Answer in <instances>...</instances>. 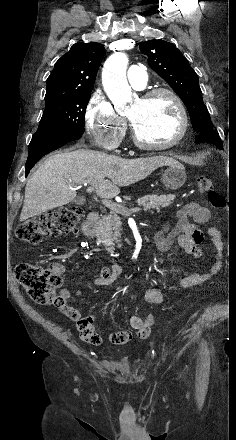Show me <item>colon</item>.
<instances>
[{
	"label": "colon",
	"mask_w": 236,
	"mask_h": 440,
	"mask_svg": "<svg viewBox=\"0 0 236 440\" xmlns=\"http://www.w3.org/2000/svg\"><path fill=\"white\" fill-rule=\"evenodd\" d=\"M197 185L199 191L208 197L214 209L219 211L226 209V198L215 189L210 178L198 177ZM83 215L84 210L80 206L61 207L22 222L18 225L16 234L21 241L39 245L50 237L76 231ZM15 276L18 283L36 303L64 308L63 298L56 293L62 284V277L52 267L44 268L33 263H19L15 269ZM154 323V316L149 314L145 317L143 324H150L152 328Z\"/></svg>",
	"instance_id": "colon-1"
}]
</instances>
